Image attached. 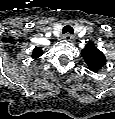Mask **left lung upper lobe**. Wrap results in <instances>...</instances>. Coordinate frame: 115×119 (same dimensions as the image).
Listing matches in <instances>:
<instances>
[{
	"mask_svg": "<svg viewBox=\"0 0 115 119\" xmlns=\"http://www.w3.org/2000/svg\"><path fill=\"white\" fill-rule=\"evenodd\" d=\"M81 54L91 71H98L104 67L107 62L104 54L94 45L93 42H88Z\"/></svg>",
	"mask_w": 115,
	"mask_h": 119,
	"instance_id": "1",
	"label": "left lung upper lobe"
}]
</instances>
